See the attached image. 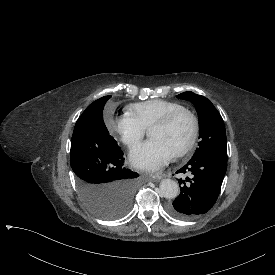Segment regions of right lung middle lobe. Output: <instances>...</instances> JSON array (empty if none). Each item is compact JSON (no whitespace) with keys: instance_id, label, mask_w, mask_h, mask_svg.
Returning <instances> with one entry per match:
<instances>
[{"instance_id":"1","label":"right lung middle lobe","mask_w":275,"mask_h":275,"mask_svg":"<svg viewBox=\"0 0 275 275\" xmlns=\"http://www.w3.org/2000/svg\"><path fill=\"white\" fill-rule=\"evenodd\" d=\"M109 98L91 103L77 120L70 163L89 209L99 217L116 219L129 211L139 174L124 167L123 152L104 124L103 108Z\"/></svg>"}]
</instances>
